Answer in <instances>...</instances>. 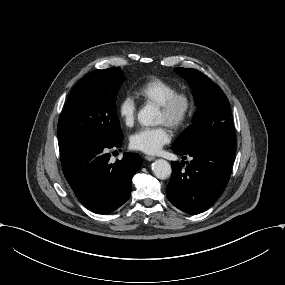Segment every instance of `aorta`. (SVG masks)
I'll list each match as a JSON object with an SVG mask.
<instances>
[{"label": "aorta", "instance_id": "aorta-1", "mask_svg": "<svg viewBox=\"0 0 285 285\" xmlns=\"http://www.w3.org/2000/svg\"><path fill=\"white\" fill-rule=\"evenodd\" d=\"M157 110L153 106H145L138 113V120L144 126L156 125ZM154 175L159 179H166L171 175V165L164 159H157L152 164Z\"/></svg>", "mask_w": 285, "mask_h": 285}]
</instances>
